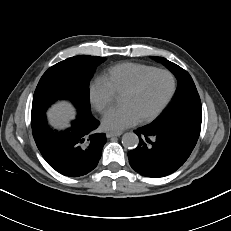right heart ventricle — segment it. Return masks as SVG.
Segmentation results:
<instances>
[{
  "instance_id": "right-heart-ventricle-1",
  "label": "right heart ventricle",
  "mask_w": 231,
  "mask_h": 231,
  "mask_svg": "<svg viewBox=\"0 0 231 231\" xmlns=\"http://www.w3.org/2000/svg\"><path fill=\"white\" fill-rule=\"evenodd\" d=\"M156 69L153 66L139 63H121L111 67L104 79L116 95H122L141 76Z\"/></svg>"
}]
</instances>
